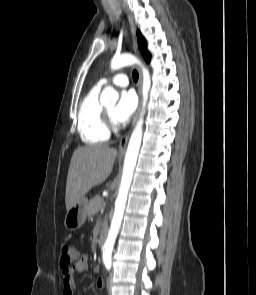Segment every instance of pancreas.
Segmentation results:
<instances>
[{"mask_svg": "<svg viewBox=\"0 0 256 295\" xmlns=\"http://www.w3.org/2000/svg\"><path fill=\"white\" fill-rule=\"evenodd\" d=\"M104 207V201L100 196H95L90 200L87 207V213L92 216L98 213Z\"/></svg>", "mask_w": 256, "mask_h": 295, "instance_id": "obj_1", "label": "pancreas"}]
</instances>
